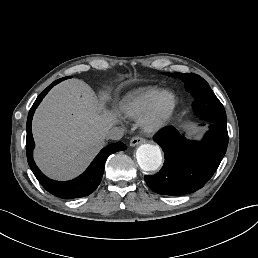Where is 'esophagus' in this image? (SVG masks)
<instances>
[{
  "mask_svg": "<svg viewBox=\"0 0 258 258\" xmlns=\"http://www.w3.org/2000/svg\"><path fill=\"white\" fill-rule=\"evenodd\" d=\"M144 143V138L142 136H134L131 140H130V146L134 147L138 144H142Z\"/></svg>",
  "mask_w": 258,
  "mask_h": 258,
  "instance_id": "1",
  "label": "esophagus"
}]
</instances>
